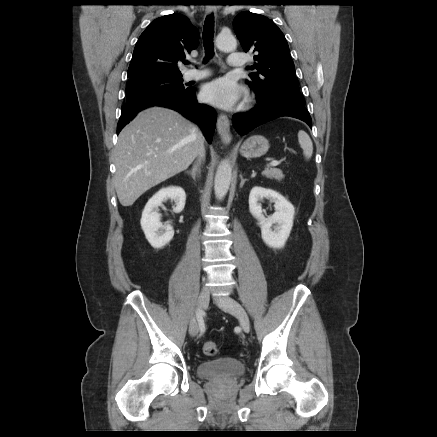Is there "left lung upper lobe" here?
Segmentation results:
<instances>
[{
	"label": "left lung upper lobe",
	"mask_w": 437,
	"mask_h": 437,
	"mask_svg": "<svg viewBox=\"0 0 437 437\" xmlns=\"http://www.w3.org/2000/svg\"><path fill=\"white\" fill-rule=\"evenodd\" d=\"M233 27L243 50L255 54L256 63L251 69L257 72L249 74V85L258 101L304 104L288 43L276 24L263 15L246 11L236 16Z\"/></svg>",
	"instance_id": "obj_1"
}]
</instances>
